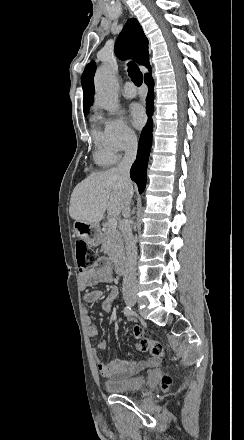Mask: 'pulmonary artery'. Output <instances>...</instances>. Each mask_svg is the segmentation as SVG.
Instances as JSON below:
<instances>
[{"label":"pulmonary artery","mask_w":244,"mask_h":440,"mask_svg":"<svg viewBox=\"0 0 244 440\" xmlns=\"http://www.w3.org/2000/svg\"><path fill=\"white\" fill-rule=\"evenodd\" d=\"M122 93L125 98L132 99L136 96V88L133 87L132 83H126L125 90Z\"/></svg>","instance_id":"1"}]
</instances>
